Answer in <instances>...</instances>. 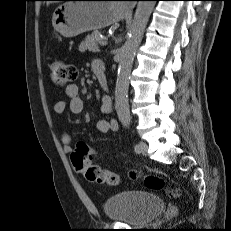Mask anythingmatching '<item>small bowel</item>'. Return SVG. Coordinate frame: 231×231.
<instances>
[{"label":"small bowel","mask_w":231,"mask_h":231,"mask_svg":"<svg viewBox=\"0 0 231 231\" xmlns=\"http://www.w3.org/2000/svg\"><path fill=\"white\" fill-rule=\"evenodd\" d=\"M100 64L96 62L94 66ZM65 94L69 98V108L73 114H80L83 111L84 103L79 95V87L76 84H70L65 88ZM54 111L56 114H63L66 111V103L58 100L54 104ZM112 111V100L108 95H103L101 98V112L104 115ZM97 129L101 133L117 132L119 124L114 118H102L97 122ZM63 149L66 153L72 151V137L69 134L62 136Z\"/></svg>","instance_id":"1"}]
</instances>
